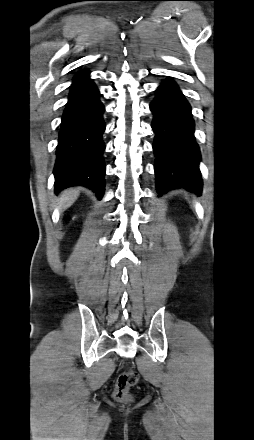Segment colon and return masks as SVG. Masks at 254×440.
<instances>
[{
	"mask_svg": "<svg viewBox=\"0 0 254 440\" xmlns=\"http://www.w3.org/2000/svg\"><path fill=\"white\" fill-rule=\"evenodd\" d=\"M138 382V374L135 371L121 373L115 383L113 397L120 402H128L131 399L130 389Z\"/></svg>",
	"mask_w": 254,
	"mask_h": 440,
	"instance_id": "5ec220e1",
	"label": "colon"
}]
</instances>
